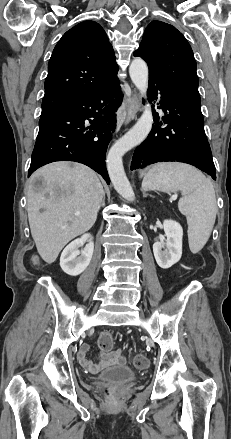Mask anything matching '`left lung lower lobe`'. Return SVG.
Masks as SVG:
<instances>
[{
	"label": "left lung lower lobe",
	"mask_w": 231,
	"mask_h": 439,
	"mask_svg": "<svg viewBox=\"0 0 231 439\" xmlns=\"http://www.w3.org/2000/svg\"><path fill=\"white\" fill-rule=\"evenodd\" d=\"M149 102L161 97L165 116L153 113L155 125L147 139L137 147L131 170L157 162L177 161L191 164L216 180L211 149L204 131L200 108L195 107L160 78L149 74ZM155 103V102H154ZM161 125H166L161 128Z\"/></svg>",
	"instance_id": "1"
}]
</instances>
